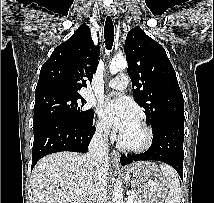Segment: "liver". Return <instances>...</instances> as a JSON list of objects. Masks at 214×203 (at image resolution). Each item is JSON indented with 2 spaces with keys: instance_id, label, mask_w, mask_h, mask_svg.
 Wrapping results in <instances>:
<instances>
[{
  "instance_id": "liver-1",
  "label": "liver",
  "mask_w": 214,
  "mask_h": 203,
  "mask_svg": "<svg viewBox=\"0 0 214 203\" xmlns=\"http://www.w3.org/2000/svg\"><path fill=\"white\" fill-rule=\"evenodd\" d=\"M32 193L33 203H89L86 155L57 152L42 158L32 172Z\"/></svg>"
}]
</instances>
